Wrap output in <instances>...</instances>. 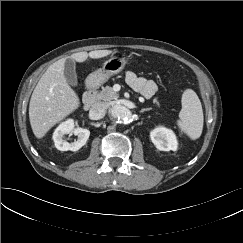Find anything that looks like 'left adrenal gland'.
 Here are the masks:
<instances>
[{
    "label": "left adrenal gland",
    "mask_w": 243,
    "mask_h": 243,
    "mask_svg": "<svg viewBox=\"0 0 243 243\" xmlns=\"http://www.w3.org/2000/svg\"><path fill=\"white\" fill-rule=\"evenodd\" d=\"M151 108H143V109H141V113H143V112H145V111H149Z\"/></svg>",
    "instance_id": "1"
}]
</instances>
